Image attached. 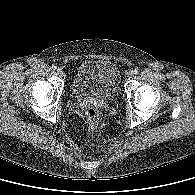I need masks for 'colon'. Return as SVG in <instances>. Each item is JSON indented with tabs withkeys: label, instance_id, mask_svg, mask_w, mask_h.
I'll use <instances>...</instances> for the list:
<instances>
[{
	"label": "colon",
	"instance_id": "1",
	"mask_svg": "<svg viewBox=\"0 0 195 195\" xmlns=\"http://www.w3.org/2000/svg\"><path fill=\"white\" fill-rule=\"evenodd\" d=\"M86 119L92 130L97 129L100 123V115L97 108L89 106L86 110Z\"/></svg>",
	"mask_w": 195,
	"mask_h": 195
}]
</instances>
